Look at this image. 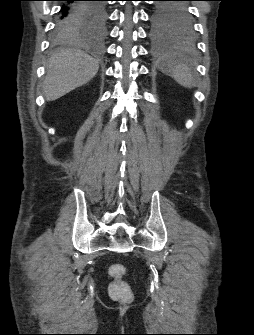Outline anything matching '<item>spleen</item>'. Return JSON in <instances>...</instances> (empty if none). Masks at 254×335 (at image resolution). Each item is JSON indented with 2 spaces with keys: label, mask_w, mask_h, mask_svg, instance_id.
<instances>
[{
  "label": "spleen",
  "mask_w": 254,
  "mask_h": 335,
  "mask_svg": "<svg viewBox=\"0 0 254 335\" xmlns=\"http://www.w3.org/2000/svg\"><path fill=\"white\" fill-rule=\"evenodd\" d=\"M160 69L171 76L177 83L185 88L194 86V76L191 69L181 63L175 52H168L161 60Z\"/></svg>",
  "instance_id": "1"
}]
</instances>
